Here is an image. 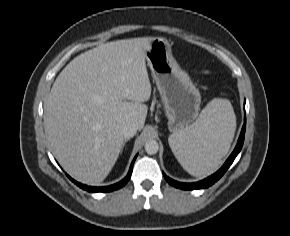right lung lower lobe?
<instances>
[{
  "mask_svg": "<svg viewBox=\"0 0 290 236\" xmlns=\"http://www.w3.org/2000/svg\"><path fill=\"white\" fill-rule=\"evenodd\" d=\"M136 157L137 156H135V158L132 161V164L130 166V169H129V172H128L127 176L123 180H121L120 182H118V183H116L114 185H110V186H106V187H91V186H86L84 184H81V183L75 181L74 179H72L70 176H68V175L67 176L77 186H79L82 189L87 190L89 192H110V191L117 190V189L123 187L129 181L130 176L132 174L133 163H134Z\"/></svg>",
  "mask_w": 290,
  "mask_h": 236,
  "instance_id": "1",
  "label": "right lung lower lobe"
}]
</instances>
